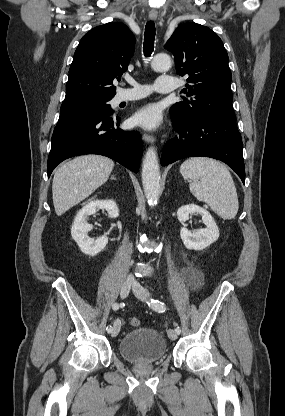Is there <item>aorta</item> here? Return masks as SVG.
Here are the masks:
<instances>
[{"instance_id": "aorta-1", "label": "aorta", "mask_w": 285, "mask_h": 416, "mask_svg": "<svg viewBox=\"0 0 285 416\" xmlns=\"http://www.w3.org/2000/svg\"><path fill=\"white\" fill-rule=\"evenodd\" d=\"M172 66V61L167 54H157L151 62L153 70L158 72L168 71ZM142 184L145 196L150 205H156L160 193V174L157 152L154 147H149L146 151L142 164Z\"/></svg>"}]
</instances>
